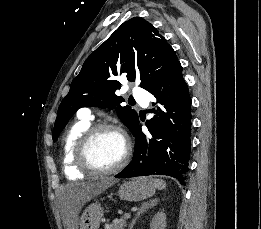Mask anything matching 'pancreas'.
Returning a JSON list of instances; mask_svg holds the SVG:
<instances>
[{"label": "pancreas", "mask_w": 261, "mask_h": 229, "mask_svg": "<svg viewBox=\"0 0 261 229\" xmlns=\"http://www.w3.org/2000/svg\"><path fill=\"white\" fill-rule=\"evenodd\" d=\"M127 225V219L125 217H122V219H115V221H112L110 225H106L107 229H124Z\"/></svg>", "instance_id": "pancreas-1"}]
</instances>
